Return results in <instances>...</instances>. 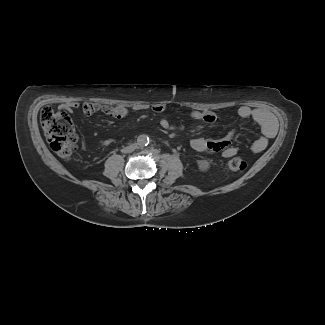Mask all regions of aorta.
Returning <instances> with one entry per match:
<instances>
[{
  "label": "aorta",
  "instance_id": "aorta-1",
  "mask_svg": "<svg viewBox=\"0 0 325 325\" xmlns=\"http://www.w3.org/2000/svg\"><path fill=\"white\" fill-rule=\"evenodd\" d=\"M149 137L146 134H141L137 138V145L141 148L146 147L149 145Z\"/></svg>",
  "mask_w": 325,
  "mask_h": 325
}]
</instances>
